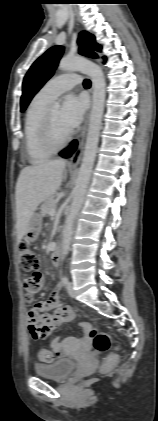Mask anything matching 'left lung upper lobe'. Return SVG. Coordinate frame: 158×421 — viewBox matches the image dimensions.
<instances>
[{"label": "left lung upper lobe", "mask_w": 158, "mask_h": 421, "mask_svg": "<svg viewBox=\"0 0 158 421\" xmlns=\"http://www.w3.org/2000/svg\"><path fill=\"white\" fill-rule=\"evenodd\" d=\"M78 43L80 44L79 52L82 55L97 57L92 49L98 52L101 51V46L95 42L94 35L88 32L80 33ZM63 50L64 48L61 46L51 47L33 63L23 81V92L20 102L21 112L25 111L33 96L53 75Z\"/></svg>", "instance_id": "5c2ea615"}]
</instances>
